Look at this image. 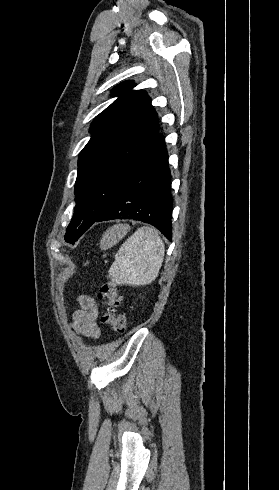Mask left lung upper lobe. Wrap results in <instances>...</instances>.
<instances>
[{
	"label": "left lung upper lobe",
	"mask_w": 279,
	"mask_h": 490,
	"mask_svg": "<svg viewBox=\"0 0 279 490\" xmlns=\"http://www.w3.org/2000/svg\"><path fill=\"white\" fill-rule=\"evenodd\" d=\"M126 81L112 90L119 96L90 127L91 139L79 154L74 215L65 241L74 244L111 206L117 191L159 133L150 97Z\"/></svg>",
	"instance_id": "1"
}]
</instances>
